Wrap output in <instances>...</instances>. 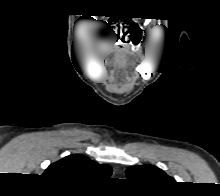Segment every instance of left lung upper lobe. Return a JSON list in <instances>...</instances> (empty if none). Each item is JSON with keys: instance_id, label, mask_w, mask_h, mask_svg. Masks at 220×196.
<instances>
[{"instance_id": "1", "label": "left lung upper lobe", "mask_w": 220, "mask_h": 196, "mask_svg": "<svg viewBox=\"0 0 220 196\" xmlns=\"http://www.w3.org/2000/svg\"><path fill=\"white\" fill-rule=\"evenodd\" d=\"M126 174L129 180L144 185H168L176 182L164 171L152 165L130 167L126 170Z\"/></svg>"}]
</instances>
